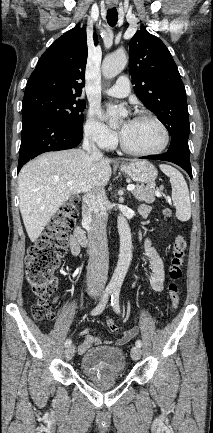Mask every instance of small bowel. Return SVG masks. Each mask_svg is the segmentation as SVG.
<instances>
[{"label":"small bowel","instance_id":"c3829d8e","mask_svg":"<svg viewBox=\"0 0 213 433\" xmlns=\"http://www.w3.org/2000/svg\"><path fill=\"white\" fill-rule=\"evenodd\" d=\"M139 211L143 216H147L149 212V207L143 205L140 207ZM69 246H70L71 254L73 256H78L80 254L81 247L76 242L74 236H71ZM145 257L147 259L151 271L150 278H149L150 288L152 289L153 292L156 293L162 292L164 290V281H165L164 263L157 250L151 245L149 239L145 241ZM54 300L57 301L58 296H56ZM137 333H138L137 327H133L130 330L126 331L124 335L117 341V343L124 344L128 342L130 339H132ZM80 334L81 336L84 337V341L78 346V352L80 354L85 353L87 350H89L94 344L98 343L99 341V339L96 336L90 334L89 330L86 328L83 329Z\"/></svg>","mask_w":213,"mask_h":433}]
</instances>
